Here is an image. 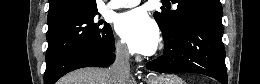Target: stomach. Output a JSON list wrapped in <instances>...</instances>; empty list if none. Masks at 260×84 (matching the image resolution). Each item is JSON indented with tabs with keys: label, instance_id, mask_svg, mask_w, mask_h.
I'll return each mask as SVG.
<instances>
[{
	"label": "stomach",
	"instance_id": "stomach-1",
	"mask_svg": "<svg viewBox=\"0 0 260 84\" xmlns=\"http://www.w3.org/2000/svg\"><path fill=\"white\" fill-rule=\"evenodd\" d=\"M148 84H186L183 79L175 74H164L154 77L148 81Z\"/></svg>",
	"mask_w": 260,
	"mask_h": 84
}]
</instances>
